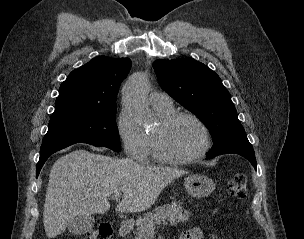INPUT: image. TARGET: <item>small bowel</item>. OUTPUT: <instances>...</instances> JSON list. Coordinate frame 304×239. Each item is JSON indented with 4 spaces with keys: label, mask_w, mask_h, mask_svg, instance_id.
Masks as SVG:
<instances>
[{
    "label": "small bowel",
    "mask_w": 304,
    "mask_h": 239,
    "mask_svg": "<svg viewBox=\"0 0 304 239\" xmlns=\"http://www.w3.org/2000/svg\"><path fill=\"white\" fill-rule=\"evenodd\" d=\"M179 239H203V232L199 228L185 230Z\"/></svg>",
    "instance_id": "obj_1"
}]
</instances>
